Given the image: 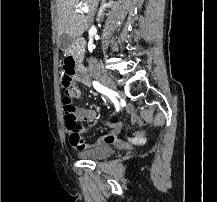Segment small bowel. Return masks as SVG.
Returning <instances> with one entry per match:
<instances>
[{
    "instance_id": "c3829d8e",
    "label": "small bowel",
    "mask_w": 217,
    "mask_h": 202,
    "mask_svg": "<svg viewBox=\"0 0 217 202\" xmlns=\"http://www.w3.org/2000/svg\"><path fill=\"white\" fill-rule=\"evenodd\" d=\"M59 90H74L73 98L79 99L82 96L81 90L76 85H59ZM128 113L131 115L133 120L136 119L137 114L135 108L130 105L127 108ZM97 114V110L92 106L87 107H75V116L77 120L82 122H91L95 119ZM121 124L113 123L111 125L110 133L95 139L91 143H87L85 146V142H70V147H85L84 149H89L93 147L100 146L105 143H115L121 148H128L131 145H143L147 142L148 138L146 134L148 132V128L144 127L141 130L133 133L128 138L120 137ZM84 128L82 131H71V141H84Z\"/></svg>"
}]
</instances>
